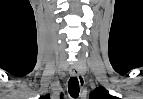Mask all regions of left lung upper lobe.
Segmentation results:
<instances>
[{
	"label": "left lung upper lobe",
	"mask_w": 143,
	"mask_h": 99,
	"mask_svg": "<svg viewBox=\"0 0 143 99\" xmlns=\"http://www.w3.org/2000/svg\"><path fill=\"white\" fill-rule=\"evenodd\" d=\"M90 99H118L109 94V92L104 87H98L93 92L90 93Z\"/></svg>",
	"instance_id": "1"
}]
</instances>
